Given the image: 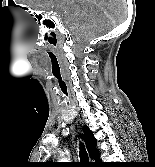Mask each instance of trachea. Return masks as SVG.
Segmentation results:
<instances>
[{"mask_svg":"<svg viewBox=\"0 0 155 167\" xmlns=\"http://www.w3.org/2000/svg\"><path fill=\"white\" fill-rule=\"evenodd\" d=\"M80 149H81V150H80L79 155H80L81 161H82V162H88V161H89V159H88V154H87V152L85 151L84 146L81 145Z\"/></svg>","mask_w":155,"mask_h":167,"instance_id":"1","label":"trachea"}]
</instances>
